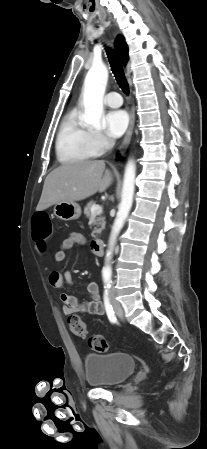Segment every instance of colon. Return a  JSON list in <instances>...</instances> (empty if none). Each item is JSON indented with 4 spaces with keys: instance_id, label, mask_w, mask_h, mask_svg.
Wrapping results in <instances>:
<instances>
[{
    "instance_id": "obj_1",
    "label": "colon",
    "mask_w": 207,
    "mask_h": 449,
    "mask_svg": "<svg viewBox=\"0 0 207 449\" xmlns=\"http://www.w3.org/2000/svg\"><path fill=\"white\" fill-rule=\"evenodd\" d=\"M53 233L52 224L49 216L45 212H37L33 215V239L42 252L46 251ZM70 331L77 337H85L87 328L84 320L77 315L68 317ZM90 347L97 352H106L108 342L102 335H92L89 338Z\"/></svg>"
}]
</instances>
